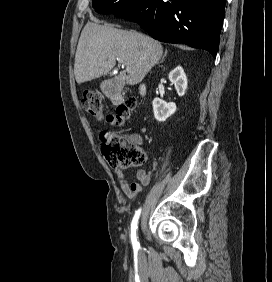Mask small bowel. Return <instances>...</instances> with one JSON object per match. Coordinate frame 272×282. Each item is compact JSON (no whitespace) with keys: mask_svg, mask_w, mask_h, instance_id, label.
I'll use <instances>...</instances> for the list:
<instances>
[{"mask_svg":"<svg viewBox=\"0 0 272 282\" xmlns=\"http://www.w3.org/2000/svg\"><path fill=\"white\" fill-rule=\"evenodd\" d=\"M129 139L136 145L142 144V136L139 134L130 135ZM114 173L124 193L131 198L142 192L144 187L148 186L151 182L150 175L143 169H138L136 171V178L138 182L133 183H129L125 176V171L115 169Z\"/></svg>","mask_w":272,"mask_h":282,"instance_id":"small-bowel-1","label":"small bowel"}]
</instances>
